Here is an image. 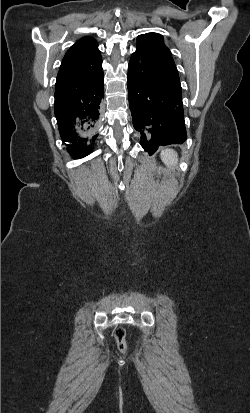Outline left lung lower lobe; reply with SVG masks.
<instances>
[{
    "mask_svg": "<svg viewBox=\"0 0 250 413\" xmlns=\"http://www.w3.org/2000/svg\"><path fill=\"white\" fill-rule=\"evenodd\" d=\"M128 94L133 126L149 155L187 139L179 75L163 40L147 36L137 45L128 66Z\"/></svg>",
    "mask_w": 250,
    "mask_h": 413,
    "instance_id": "obj_1",
    "label": "left lung lower lobe"
}]
</instances>
